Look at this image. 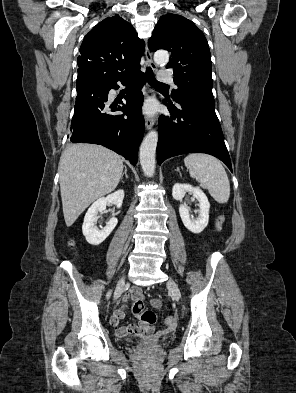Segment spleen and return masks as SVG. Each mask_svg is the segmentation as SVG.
<instances>
[{
    "label": "spleen",
    "instance_id": "obj_1",
    "mask_svg": "<svg viewBox=\"0 0 296 393\" xmlns=\"http://www.w3.org/2000/svg\"><path fill=\"white\" fill-rule=\"evenodd\" d=\"M190 176L206 187L218 203H226L230 197L227 173L218 159L206 154L194 153L184 159Z\"/></svg>",
    "mask_w": 296,
    "mask_h": 393
}]
</instances>
